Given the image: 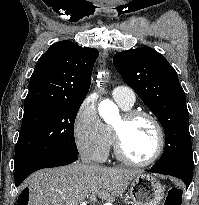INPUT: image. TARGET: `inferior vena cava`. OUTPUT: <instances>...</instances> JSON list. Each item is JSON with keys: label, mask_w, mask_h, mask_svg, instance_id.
Segmentation results:
<instances>
[{"label": "inferior vena cava", "mask_w": 199, "mask_h": 205, "mask_svg": "<svg viewBox=\"0 0 199 205\" xmlns=\"http://www.w3.org/2000/svg\"><path fill=\"white\" fill-rule=\"evenodd\" d=\"M81 159H82V162L84 164H88V165H91V166L98 167V165L91 164L90 159L87 156H85V155H82Z\"/></svg>", "instance_id": "602c4592"}]
</instances>
